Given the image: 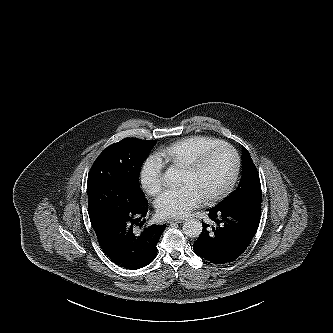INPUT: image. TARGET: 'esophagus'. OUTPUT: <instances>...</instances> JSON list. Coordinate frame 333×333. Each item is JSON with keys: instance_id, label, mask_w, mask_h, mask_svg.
<instances>
[{"instance_id": "esophagus-1", "label": "esophagus", "mask_w": 333, "mask_h": 333, "mask_svg": "<svg viewBox=\"0 0 333 333\" xmlns=\"http://www.w3.org/2000/svg\"><path fill=\"white\" fill-rule=\"evenodd\" d=\"M183 220L182 219H169L168 220V223L169 224H172V223H181Z\"/></svg>"}]
</instances>
